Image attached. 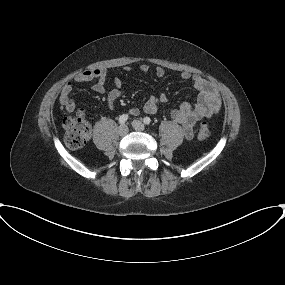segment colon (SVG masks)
I'll return each instance as SVG.
<instances>
[{
  "instance_id": "1",
  "label": "colon",
  "mask_w": 285,
  "mask_h": 285,
  "mask_svg": "<svg viewBox=\"0 0 285 285\" xmlns=\"http://www.w3.org/2000/svg\"><path fill=\"white\" fill-rule=\"evenodd\" d=\"M65 131V143L69 148L78 149L83 147L91 134L90 123L84 114H77L74 117H67L63 121ZM210 136V129L206 122H202L199 126L198 137L207 139Z\"/></svg>"
}]
</instances>
